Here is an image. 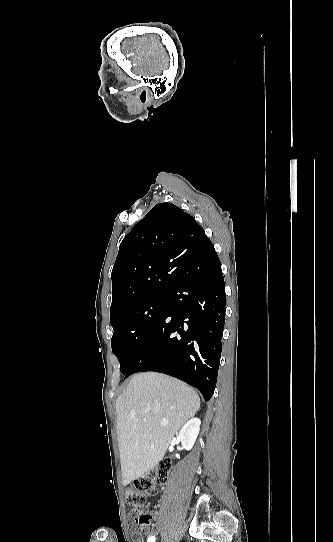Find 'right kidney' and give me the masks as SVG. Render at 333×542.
<instances>
[{
    "mask_svg": "<svg viewBox=\"0 0 333 542\" xmlns=\"http://www.w3.org/2000/svg\"><path fill=\"white\" fill-rule=\"evenodd\" d=\"M200 424L201 420H199V418H191V420L181 428L178 440L181 442L184 450H192L200 432Z\"/></svg>",
    "mask_w": 333,
    "mask_h": 542,
    "instance_id": "right-kidney-1",
    "label": "right kidney"
}]
</instances>
